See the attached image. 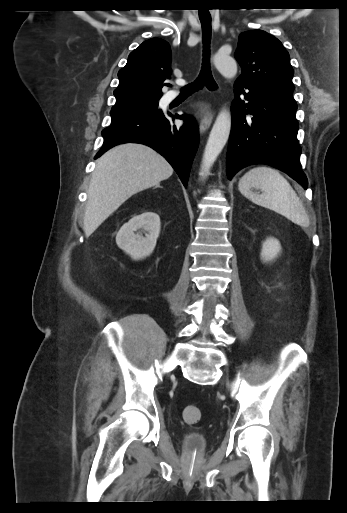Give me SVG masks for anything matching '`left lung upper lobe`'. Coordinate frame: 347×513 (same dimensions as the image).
I'll return each mask as SVG.
<instances>
[{"label":"left lung upper lobe","instance_id":"obj_1","mask_svg":"<svg viewBox=\"0 0 347 513\" xmlns=\"http://www.w3.org/2000/svg\"><path fill=\"white\" fill-rule=\"evenodd\" d=\"M235 58L242 68L236 82L294 88L289 54L282 43L267 32L251 30L241 33Z\"/></svg>","mask_w":347,"mask_h":513}]
</instances>
